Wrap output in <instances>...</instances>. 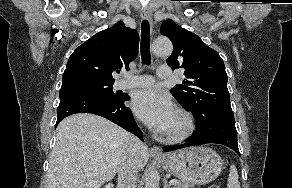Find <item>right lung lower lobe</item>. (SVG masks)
<instances>
[{
    "label": "right lung lower lobe",
    "mask_w": 292,
    "mask_h": 188,
    "mask_svg": "<svg viewBox=\"0 0 292 188\" xmlns=\"http://www.w3.org/2000/svg\"><path fill=\"white\" fill-rule=\"evenodd\" d=\"M60 104L57 108V122L75 113H92L116 123L125 130L135 134L143 141V136L138 128L131 110L125 102L130 97L124 94L119 101H108L100 96L78 88L60 90Z\"/></svg>",
    "instance_id": "1"
}]
</instances>
